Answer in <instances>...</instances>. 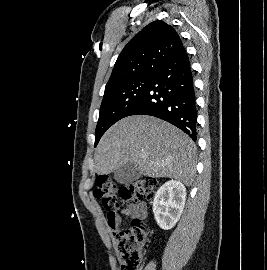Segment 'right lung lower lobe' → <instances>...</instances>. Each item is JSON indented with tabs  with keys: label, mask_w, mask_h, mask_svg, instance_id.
I'll list each match as a JSON object with an SVG mask.
<instances>
[{
	"label": "right lung lower lobe",
	"mask_w": 267,
	"mask_h": 270,
	"mask_svg": "<svg viewBox=\"0 0 267 270\" xmlns=\"http://www.w3.org/2000/svg\"><path fill=\"white\" fill-rule=\"evenodd\" d=\"M139 114L163 119L196 140V98L184 47L154 74L148 90L126 117Z\"/></svg>",
	"instance_id": "1"
}]
</instances>
